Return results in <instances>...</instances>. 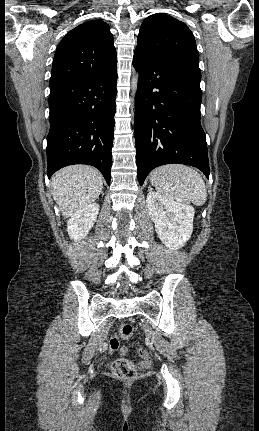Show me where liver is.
<instances>
[{
	"label": "liver",
	"mask_w": 259,
	"mask_h": 431,
	"mask_svg": "<svg viewBox=\"0 0 259 431\" xmlns=\"http://www.w3.org/2000/svg\"><path fill=\"white\" fill-rule=\"evenodd\" d=\"M102 188L101 173L88 165L68 166L52 177V195L65 218L94 202Z\"/></svg>",
	"instance_id": "1"
}]
</instances>
